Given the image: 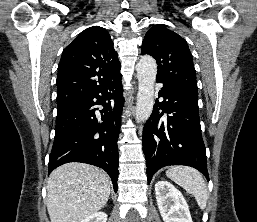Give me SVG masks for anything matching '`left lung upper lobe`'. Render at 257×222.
<instances>
[{"label":"left lung upper lobe","instance_id":"left-lung-upper-lobe-1","mask_svg":"<svg viewBox=\"0 0 257 222\" xmlns=\"http://www.w3.org/2000/svg\"><path fill=\"white\" fill-rule=\"evenodd\" d=\"M141 54H149L156 60V79L198 95L192 54L177 33L161 25L153 26L144 37Z\"/></svg>","mask_w":257,"mask_h":222}]
</instances>
